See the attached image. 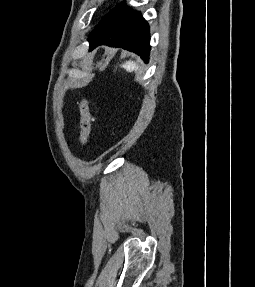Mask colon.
<instances>
[{
	"label": "colon",
	"instance_id": "colon-1",
	"mask_svg": "<svg viewBox=\"0 0 255 287\" xmlns=\"http://www.w3.org/2000/svg\"><path fill=\"white\" fill-rule=\"evenodd\" d=\"M80 112V143L85 147L88 145L91 133L93 117L89 108L88 101L82 99L79 104Z\"/></svg>",
	"mask_w": 255,
	"mask_h": 287
}]
</instances>
